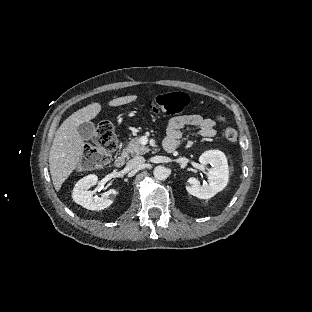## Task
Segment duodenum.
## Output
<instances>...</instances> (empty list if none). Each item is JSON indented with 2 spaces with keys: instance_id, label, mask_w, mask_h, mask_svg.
I'll list each match as a JSON object with an SVG mask.
<instances>
[{
  "instance_id": "duodenum-1",
  "label": "duodenum",
  "mask_w": 312,
  "mask_h": 312,
  "mask_svg": "<svg viewBox=\"0 0 312 312\" xmlns=\"http://www.w3.org/2000/svg\"><path fill=\"white\" fill-rule=\"evenodd\" d=\"M164 148L166 151L172 153L174 151H176L177 146L175 144H164ZM126 159H127V153L126 152H121L119 153L115 159H114V165L117 168H122L124 167L125 163H126Z\"/></svg>"
}]
</instances>
